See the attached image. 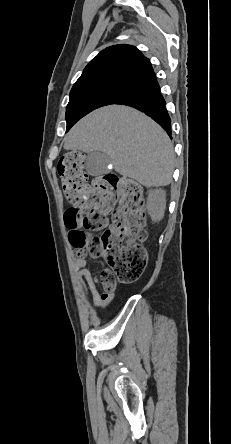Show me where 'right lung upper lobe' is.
Listing matches in <instances>:
<instances>
[{"mask_svg": "<svg viewBox=\"0 0 231 444\" xmlns=\"http://www.w3.org/2000/svg\"><path fill=\"white\" fill-rule=\"evenodd\" d=\"M156 79L148 58L134 46L113 45L102 50L84 69L72 90L118 84L132 90Z\"/></svg>", "mask_w": 231, "mask_h": 444, "instance_id": "right-lung-upper-lobe-1", "label": "right lung upper lobe"}]
</instances>
